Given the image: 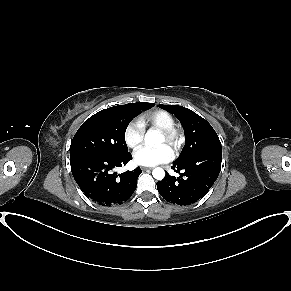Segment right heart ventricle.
Instances as JSON below:
<instances>
[{
  "instance_id": "1",
  "label": "right heart ventricle",
  "mask_w": 291,
  "mask_h": 291,
  "mask_svg": "<svg viewBox=\"0 0 291 291\" xmlns=\"http://www.w3.org/2000/svg\"><path fill=\"white\" fill-rule=\"evenodd\" d=\"M139 121L142 125L150 126L159 130L175 126L174 117L165 110H154L144 113Z\"/></svg>"
}]
</instances>
